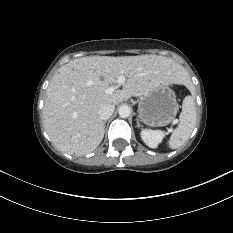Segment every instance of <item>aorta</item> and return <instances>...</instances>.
Segmentation results:
<instances>
[{"label":"aorta","instance_id":"1","mask_svg":"<svg viewBox=\"0 0 233 233\" xmlns=\"http://www.w3.org/2000/svg\"><path fill=\"white\" fill-rule=\"evenodd\" d=\"M118 114L121 118H128L131 114V109L128 105L120 106Z\"/></svg>","mask_w":233,"mask_h":233}]
</instances>
